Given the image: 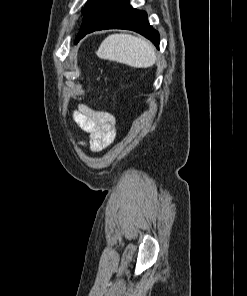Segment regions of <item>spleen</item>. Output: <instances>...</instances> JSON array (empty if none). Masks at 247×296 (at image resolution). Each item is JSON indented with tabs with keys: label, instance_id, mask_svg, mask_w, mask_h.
Segmentation results:
<instances>
[{
	"label": "spleen",
	"instance_id": "1",
	"mask_svg": "<svg viewBox=\"0 0 247 296\" xmlns=\"http://www.w3.org/2000/svg\"><path fill=\"white\" fill-rule=\"evenodd\" d=\"M98 57L116 61L134 68H147L155 64L154 46L144 38L130 34H112L101 43Z\"/></svg>",
	"mask_w": 247,
	"mask_h": 296
}]
</instances>
